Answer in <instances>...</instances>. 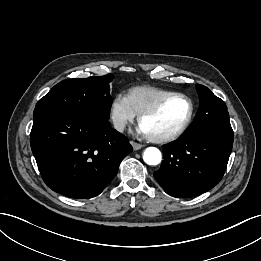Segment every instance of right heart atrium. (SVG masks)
Wrapping results in <instances>:
<instances>
[{"label":"right heart atrium","mask_w":261,"mask_h":261,"mask_svg":"<svg viewBox=\"0 0 261 261\" xmlns=\"http://www.w3.org/2000/svg\"><path fill=\"white\" fill-rule=\"evenodd\" d=\"M135 116L136 114L125 95L117 94L112 99L109 117L116 131L122 132L135 119Z\"/></svg>","instance_id":"d8ad5b80"}]
</instances>
